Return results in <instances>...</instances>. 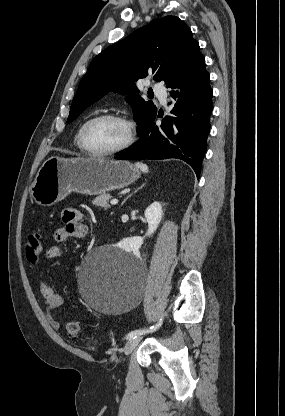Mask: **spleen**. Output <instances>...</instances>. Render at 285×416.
I'll return each mask as SVG.
<instances>
[{
	"mask_svg": "<svg viewBox=\"0 0 285 416\" xmlns=\"http://www.w3.org/2000/svg\"><path fill=\"white\" fill-rule=\"evenodd\" d=\"M135 166H137V168H139V170H141L143 174H148L149 168L148 166H146V164H141V162H136Z\"/></svg>",
	"mask_w": 285,
	"mask_h": 416,
	"instance_id": "3e777b00",
	"label": "spleen"
}]
</instances>
